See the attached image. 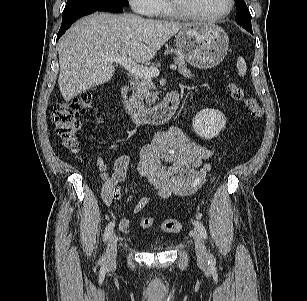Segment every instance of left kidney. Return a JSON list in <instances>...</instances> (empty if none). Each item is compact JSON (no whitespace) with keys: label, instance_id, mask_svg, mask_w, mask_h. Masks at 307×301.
<instances>
[{"label":"left kidney","instance_id":"left-kidney-1","mask_svg":"<svg viewBox=\"0 0 307 301\" xmlns=\"http://www.w3.org/2000/svg\"><path fill=\"white\" fill-rule=\"evenodd\" d=\"M226 117L218 110L203 109L198 112L193 121L194 131L205 140L216 137L225 127Z\"/></svg>","mask_w":307,"mask_h":301}]
</instances>
